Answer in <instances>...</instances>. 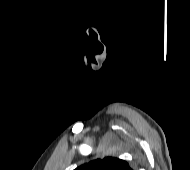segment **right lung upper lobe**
<instances>
[{
	"instance_id": "1",
	"label": "right lung upper lobe",
	"mask_w": 190,
	"mask_h": 170,
	"mask_svg": "<svg viewBox=\"0 0 190 170\" xmlns=\"http://www.w3.org/2000/svg\"><path fill=\"white\" fill-rule=\"evenodd\" d=\"M75 170H132V168L124 160L115 157H105L83 164Z\"/></svg>"
}]
</instances>
